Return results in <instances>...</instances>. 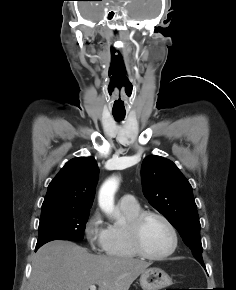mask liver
<instances>
[{"mask_svg":"<svg viewBox=\"0 0 236 290\" xmlns=\"http://www.w3.org/2000/svg\"><path fill=\"white\" fill-rule=\"evenodd\" d=\"M151 264L129 257L94 255L70 241L43 245L33 257L28 290H129Z\"/></svg>","mask_w":236,"mask_h":290,"instance_id":"1","label":"liver"}]
</instances>
